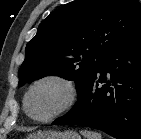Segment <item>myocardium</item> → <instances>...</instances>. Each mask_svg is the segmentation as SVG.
I'll return each instance as SVG.
<instances>
[{"instance_id":"myocardium-1","label":"myocardium","mask_w":141,"mask_h":139,"mask_svg":"<svg viewBox=\"0 0 141 139\" xmlns=\"http://www.w3.org/2000/svg\"><path fill=\"white\" fill-rule=\"evenodd\" d=\"M48 81H54V82H57L63 85L67 91V99L65 103L63 104V106L59 110H57L55 113H53L52 115L45 117V118H38V117L33 116L29 111V105H28L29 97L32 91L38 85L44 82H48ZM79 95H80L79 88L72 79L66 76L60 75V74H47V75L39 77L29 86L24 96V101H23L24 110L26 114L28 115V117L31 118L32 120L36 122H40V123H47V122L55 120L56 118L70 111L76 105L79 99Z\"/></svg>"}]
</instances>
